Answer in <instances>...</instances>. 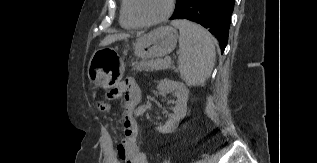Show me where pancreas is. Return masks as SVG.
<instances>
[{
    "mask_svg": "<svg viewBox=\"0 0 317 163\" xmlns=\"http://www.w3.org/2000/svg\"><path fill=\"white\" fill-rule=\"evenodd\" d=\"M169 59H155V60H145L140 62H133L132 67L137 71H153V70H162L170 68L171 64Z\"/></svg>",
    "mask_w": 317,
    "mask_h": 163,
    "instance_id": "pancreas-1",
    "label": "pancreas"
}]
</instances>
